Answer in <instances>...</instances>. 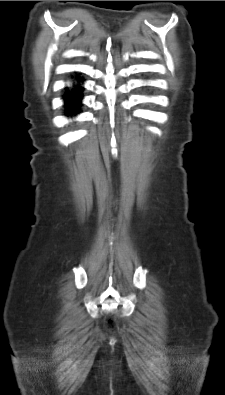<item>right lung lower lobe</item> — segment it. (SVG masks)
Instances as JSON below:
<instances>
[{"instance_id": "right-lung-lower-lobe-1", "label": "right lung lower lobe", "mask_w": 225, "mask_h": 395, "mask_svg": "<svg viewBox=\"0 0 225 395\" xmlns=\"http://www.w3.org/2000/svg\"><path fill=\"white\" fill-rule=\"evenodd\" d=\"M80 82H83V78L77 76V84H74L71 89H65L64 100L67 116H73L80 112L79 107L82 105L81 101L84 90Z\"/></svg>"}]
</instances>
